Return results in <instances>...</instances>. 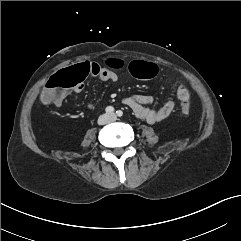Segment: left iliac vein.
I'll list each match as a JSON object with an SVG mask.
<instances>
[{
	"label": "left iliac vein",
	"instance_id": "left-iliac-vein-1",
	"mask_svg": "<svg viewBox=\"0 0 241 241\" xmlns=\"http://www.w3.org/2000/svg\"><path fill=\"white\" fill-rule=\"evenodd\" d=\"M110 117H111V118H114V117H115V115H114V114H111V115H110Z\"/></svg>",
	"mask_w": 241,
	"mask_h": 241
}]
</instances>
